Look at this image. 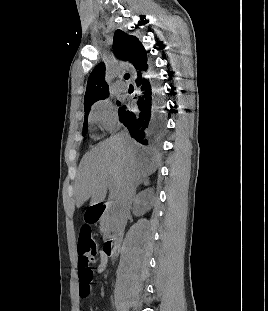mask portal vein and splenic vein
Instances as JSON below:
<instances>
[{"label":"portal vein and splenic vein","mask_w":268,"mask_h":311,"mask_svg":"<svg viewBox=\"0 0 268 311\" xmlns=\"http://www.w3.org/2000/svg\"><path fill=\"white\" fill-rule=\"evenodd\" d=\"M109 184H110L111 197H112L113 194L116 192V187H115V184L113 183V181H110Z\"/></svg>","instance_id":"portal-vein-and-splenic-vein-1"}]
</instances>
